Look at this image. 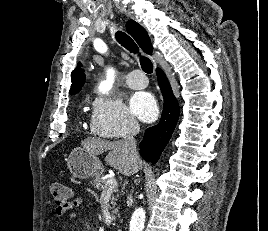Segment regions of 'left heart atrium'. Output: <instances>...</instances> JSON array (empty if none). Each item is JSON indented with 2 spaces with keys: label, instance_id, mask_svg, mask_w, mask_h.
<instances>
[{
  "label": "left heart atrium",
  "instance_id": "1",
  "mask_svg": "<svg viewBox=\"0 0 268 231\" xmlns=\"http://www.w3.org/2000/svg\"><path fill=\"white\" fill-rule=\"evenodd\" d=\"M133 114L144 122H153L157 119L159 110L153 95L148 92H138L132 95L129 101Z\"/></svg>",
  "mask_w": 268,
  "mask_h": 231
}]
</instances>
